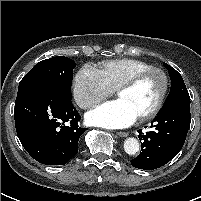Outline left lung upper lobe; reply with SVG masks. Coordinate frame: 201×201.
<instances>
[{
    "mask_svg": "<svg viewBox=\"0 0 201 201\" xmlns=\"http://www.w3.org/2000/svg\"><path fill=\"white\" fill-rule=\"evenodd\" d=\"M163 65L167 68L171 79V89L165 103L176 99L190 98L180 73L166 63H163Z\"/></svg>",
    "mask_w": 201,
    "mask_h": 201,
    "instance_id": "left-lung-upper-lobe-1",
    "label": "left lung upper lobe"
}]
</instances>
